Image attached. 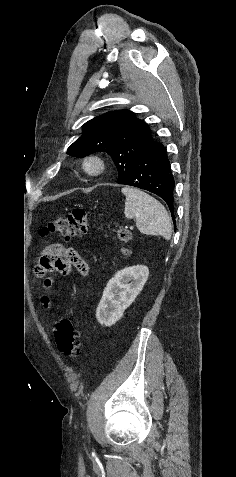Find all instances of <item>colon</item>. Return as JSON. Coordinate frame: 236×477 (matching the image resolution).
<instances>
[{
	"label": "colon",
	"instance_id": "5ec220e1",
	"mask_svg": "<svg viewBox=\"0 0 236 477\" xmlns=\"http://www.w3.org/2000/svg\"><path fill=\"white\" fill-rule=\"evenodd\" d=\"M90 221L88 213L81 208L74 209L64 216H59L50 221L43 227L42 235H57L66 239L83 236L89 229ZM117 238L120 243H125L130 239V233L126 229H120L117 232ZM54 251L50 247L46 248L42 254L45 256L48 252ZM124 254L128 250L121 248ZM55 341L58 350L67 358H77L81 354L79 343V332L74 322L69 318L61 319L56 325Z\"/></svg>",
	"mask_w": 236,
	"mask_h": 477
}]
</instances>
